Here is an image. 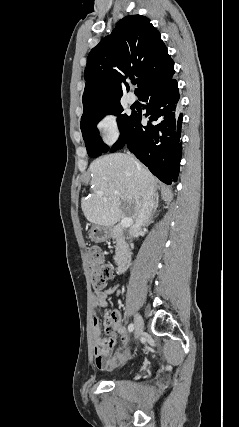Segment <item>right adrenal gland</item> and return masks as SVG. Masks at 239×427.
<instances>
[{"label": "right adrenal gland", "mask_w": 239, "mask_h": 427, "mask_svg": "<svg viewBox=\"0 0 239 427\" xmlns=\"http://www.w3.org/2000/svg\"><path fill=\"white\" fill-rule=\"evenodd\" d=\"M158 193H156V199H157V202H156V205H155V209L157 208V206H158Z\"/></svg>", "instance_id": "right-adrenal-gland-1"}]
</instances>
